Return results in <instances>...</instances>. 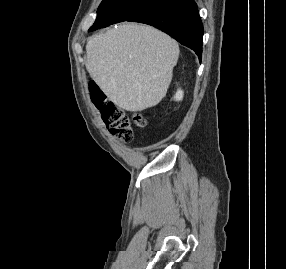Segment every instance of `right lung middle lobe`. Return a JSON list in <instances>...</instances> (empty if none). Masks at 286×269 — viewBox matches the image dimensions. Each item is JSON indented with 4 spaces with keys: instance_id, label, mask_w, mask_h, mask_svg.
Returning a JSON list of instances; mask_svg holds the SVG:
<instances>
[{
    "instance_id": "right-lung-middle-lobe-1",
    "label": "right lung middle lobe",
    "mask_w": 286,
    "mask_h": 269,
    "mask_svg": "<svg viewBox=\"0 0 286 269\" xmlns=\"http://www.w3.org/2000/svg\"><path fill=\"white\" fill-rule=\"evenodd\" d=\"M158 0H103L97 10V18L90 31L127 21Z\"/></svg>"
}]
</instances>
